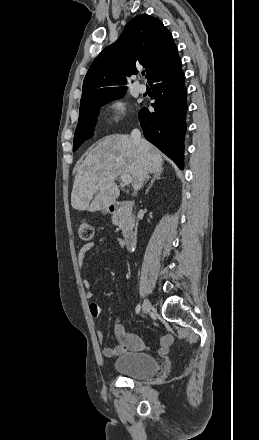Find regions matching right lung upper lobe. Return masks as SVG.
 Here are the masks:
<instances>
[{"instance_id":"right-lung-upper-lobe-1","label":"right lung upper lobe","mask_w":259,"mask_h":440,"mask_svg":"<svg viewBox=\"0 0 259 440\" xmlns=\"http://www.w3.org/2000/svg\"><path fill=\"white\" fill-rule=\"evenodd\" d=\"M177 54L172 35L160 20L147 14L134 17L118 40L106 47L90 66L80 107L126 90V76L136 74L141 65L149 81Z\"/></svg>"}]
</instances>
